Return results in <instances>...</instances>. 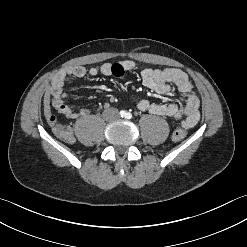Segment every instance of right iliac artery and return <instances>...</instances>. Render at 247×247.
Instances as JSON below:
<instances>
[{"label":"right iliac artery","mask_w":247,"mask_h":247,"mask_svg":"<svg viewBox=\"0 0 247 247\" xmlns=\"http://www.w3.org/2000/svg\"><path fill=\"white\" fill-rule=\"evenodd\" d=\"M119 114H120L121 117H125L126 116V112L124 110L120 111Z\"/></svg>","instance_id":"82829eb1"}]
</instances>
